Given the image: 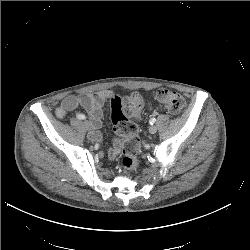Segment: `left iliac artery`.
<instances>
[{
  "label": "left iliac artery",
  "mask_w": 250,
  "mask_h": 250,
  "mask_svg": "<svg viewBox=\"0 0 250 250\" xmlns=\"http://www.w3.org/2000/svg\"><path fill=\"white\" fill-rule=\"evenodd\" d=\"M155 121H156L155 118H151L149 122H150L151 125H153L155 123Z\"/></svg>",
  "instance_id": "left-iliac-artery-1"
}]
</instances>
